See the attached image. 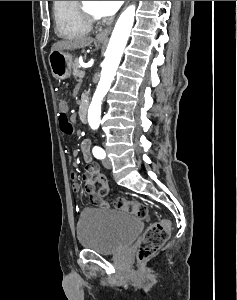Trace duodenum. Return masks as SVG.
I'll return each mask as SVG.
<instances>
[{
    "instance_id": "duodenum-1",
    "label": "duodenum",
    "mask_w": 237,
    "mask_h": 300,
    "mask_svg": "<svg viewBox=\"0 0 237 300\" xmlns=\"http://www.w3.org/2000/svg\"><path fill=\"white\" fill-rule=\"evenodd\" d=\"M79 118L82 123H86V121H87V104L85 102H81L79 105Z\"/></svg>"
}]
</instances>
